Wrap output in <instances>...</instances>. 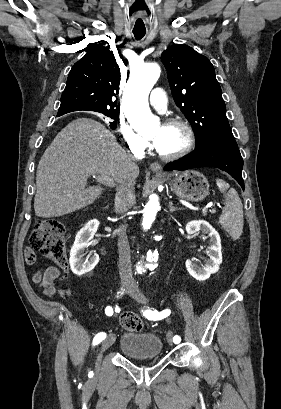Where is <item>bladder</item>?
<instances>
[{
	"label": "bladder",
	"instance_id": "bladder-1",
	"mask_svg": "<svg viewBox=\"0 0 281 409\" xmlns=\"http://www.w3.org/2000/svg\"><path fill=\"white\" fill-rule=\"evenodd\" d=\"M117 347L127 358L136 361L161 359L164 355L163 339L153 332L124 330Z\"/></svg>",
	"mask_w": 281,
	"mask_h": 409
}]
</instances>
